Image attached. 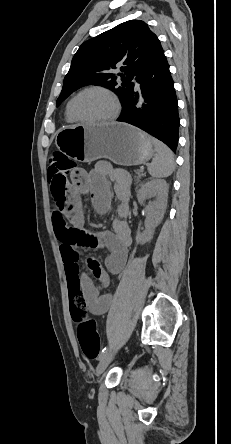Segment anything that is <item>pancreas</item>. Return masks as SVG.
<instances>
[{
    "label": "pancreas",
    "mask_w": 231,
    "mask_h": 444,
    "mask_svg": "<svg viewBox=\"0 0 231 444\" xmlns=\"http://www.w3.org/2000/svg\"><path fill=\"white\" fill-rule=\"evenodd\" d=\"M134 173H135V175H134L135 182H139L140 179L144 176L140 170H135Z\"/></svg>",
    "instance_id": "cf45deb5"
}]
</instances>
